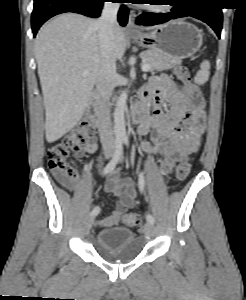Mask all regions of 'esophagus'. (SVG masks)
Here are the masks:
<instances>
[{"label": "esophagus", "mask_w": 246, "mask_h": 300, "mask_svg": "<svg viewBox=\"0 0 246 300\" xmlns=\"http://www.w3.org/2000/svg\"><path fill=\"white\" fill-rule=\"evenodd\" d=\"M127 32L128 33H138L139 29L135 24V14L134 11H130L128 23H127Z\"/></svg>", "instance_id": "esophagus-1"}]
</instances>
